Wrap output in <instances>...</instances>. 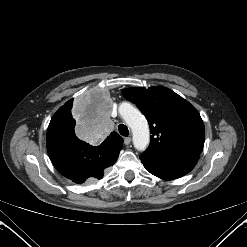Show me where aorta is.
I'll use <instances>...</instances> for the list:
<instances>
[{
    "mask_svg": "<svg viewBox=\"0 0 247 247\" xmlns=\"http://www.w3.org/2000/svg\"><path fill=\"white\" fill-rule=\"evenodd\" d=\"M119 113L132 130L134 147L139 151H144L150 142L149 126L146 118L129 103H122L119 106Z\"/></svg>",
    "mask_w": 247,
    "mask_h": 247,
    "instance_id": "aorta-1",
    "label": "aorta"
}]
</instances>
